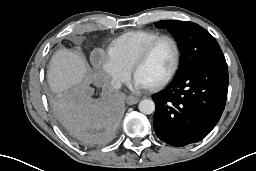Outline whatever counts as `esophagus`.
Instances as JSON below:
<instances>
[{"mask_svg":"<svg viewBox=\"0 0 256 171\" xmlns=\"http://www.w3.org/2000/svg\"><path fill=\"white\" fill-rule=\"evenodd\" d=\"M138 102H139V98H138V97L128 96V97L126 98V103H127L128 105H134V104H136V103H138Z\"/></svg>","mask_w":256,"mask_h":171,"instance_id":"obj_1","label":"esophagus"}]
</instances>
